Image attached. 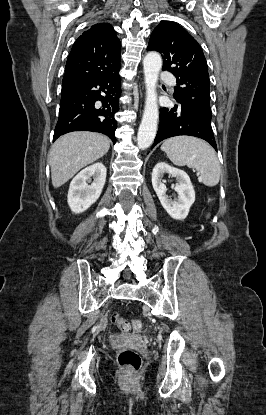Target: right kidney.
<instances>
[{
	"label": "right kidney",
	"instance_id": "1",
	"mask_svg": "<svg viewBox=\"0 0 266 415\" xmlns=\"http://www.w3.org/2000/svg\"><path fill=\"white\" fill-rule=\"evenodd\" d=\"M106 172L102 163H95L73 178L67 199L72 212L82 213L97 201L106 181Z\"/></svg>",
	"mask_w": 266,
	"mask_h": 415
}]
</instances>
